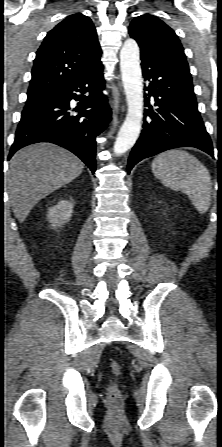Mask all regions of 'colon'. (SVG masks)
I'll return each mask as SVG.
<instances>
[{
	"mask_svg": "<svg viewBox=\"0 0 222 447\" xmlns=\"http://www.w3.org/2000/svg\"><path fill=\"white\" fill-rule=\"evenodd\" d=\"M111 371L115 376L121 375V369L120 366L116 362L111 363ZM107 398L111 403H117L121 400V392L117 386V384L113 383L108 391H107Z\"/></svg>",
	"mask_w": 222,
	"mask_h": 447,
	"instance_id": "1",
	"label": "colon"
}]
</instances>
